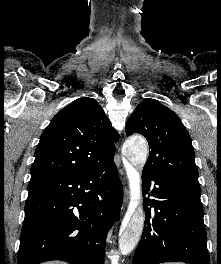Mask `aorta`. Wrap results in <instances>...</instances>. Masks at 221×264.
<instances>
[{
	"label": "aorta",
	"mask_w": 221,
	"mask_h": 264,
	"mask_svg": "<svg viewBox=\"0 0 221 264\" xmlns=\"http://www.w3.org/2000/svg\"><path fill=\"white\" fill-rule=\"evenodd\" d=\"M123 154L133 167L142 169L148 155L146 141L140 137L129 138L123 145ZM130 189L131 194L136 197L137 202L134 211L123 225L120 233L119 249L123 255L130 254L139 243L145 220L138 179L131 181Z\"/></svg>",
	"instance_id": "762f6f07"
}]
</instances>
